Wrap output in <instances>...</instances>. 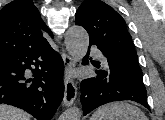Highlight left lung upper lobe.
<instances>
[{"mask_svg":"<svg viewBox=\"0 0 165 120\" xmlns=\"http://www.w3.org/2000/svg\"><path fill=\"white\" fill-rule=\"evenodd\" d=\"M75 23L84 27L90 42L110 53L124 70L142 78L126 23L111 6L99 0H85L76 12Z\"/></svg>","mask_w":165,"mask_h":120,"instance_id":"left-lung-upper-lobe-1","label":"left lung upper lobe"}]
</instances>
